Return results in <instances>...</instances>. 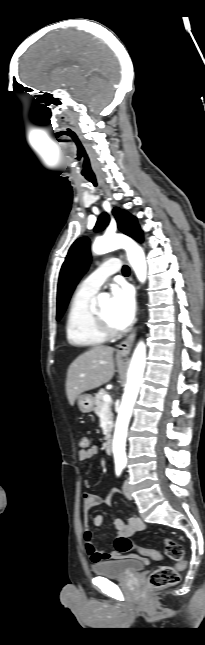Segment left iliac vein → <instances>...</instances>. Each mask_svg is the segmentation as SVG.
<instances>
[{"label": "left iliac vein", "mask_w": 205, "mask_h": 645, "mask_svg": "<svg viewBox=\"0 0 205 645\" xmlns=\"http://www.w3.org/2000/svg\"><path fill=\"white\" fill-rule=\"evenodd\" d=\"M123 492H124V495L126 496L127 499H129V500L132 499V492H131L130 485H129L127 480H125V482L123 484Z\"/></svg>", "instance_id": "obj_1"}]
</instances>
